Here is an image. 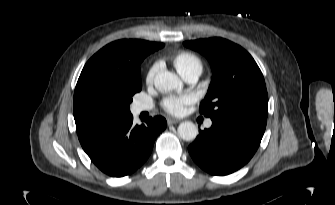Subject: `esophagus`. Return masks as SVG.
Listing matches in <instances>:
<instances>
[{"label": "esophagus", "instance_id": "34e87169", "mask_svg": "<svg viewBox=\"0 0 335 205\" xmlns=\"http://www.w3.org/2000/svg\"><path fill=\"white\" fill-rule=\"evenodd\" d=\"M178 122H179V120H177L175 118H168L167 119L168 125L177 124Z\"/></svg>", "mask_w": 335, "mask_h": 205}]
</instances>
